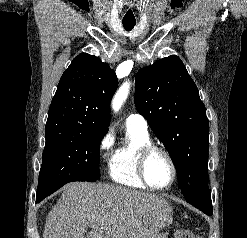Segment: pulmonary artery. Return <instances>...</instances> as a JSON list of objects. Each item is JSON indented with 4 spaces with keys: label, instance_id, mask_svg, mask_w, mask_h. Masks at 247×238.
Wrapping results in <instances>:
<instances>
[{
    "label": "pulmonary artery",
    "instance_id": "e3ab8cb5",
    "mask_svg": "<svg viewBox=\"0 0 247 238\" xmlns=\"http://www.w3.org/2000/svg\"><path fill=\"white\" fill-rule=\"evenodd\" d=\"M126 126L134 127L142 131H147L148 129V124H147L146 119L138 113L130 114L126 118Z\"/></svg>",
    "mask_w": 247,
    "mask_h": 238
}]
</instances>
